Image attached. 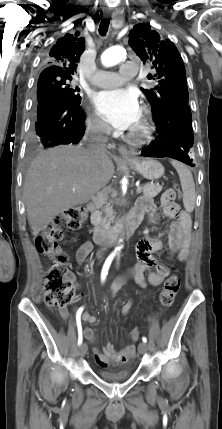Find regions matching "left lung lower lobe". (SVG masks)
I'll list each match as a JSON object with an SVG mask.
<instances>
[{
  "mask_svg": "<svg viewBox=\"0 0 222 429\" xmlns=\"http://www.w3.org/2000/svg\"><path fill=\"white\" fill-rule=\"evenodd\" d=\"M157 137L142 149L146 157H169L194 167L191 149L194 143L192 116L188 104L169 108L158 118L153 117Z\"/></svg>",
  "mask_w": 222,
  "mask_h": 429,
  "instance_id": "left-lung-lower-lobe-1",
  "label": "left lung lower lobe"
}]
</instances>
